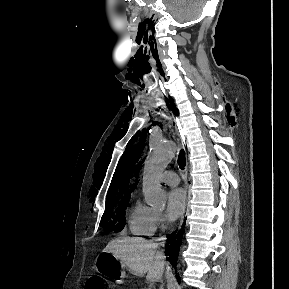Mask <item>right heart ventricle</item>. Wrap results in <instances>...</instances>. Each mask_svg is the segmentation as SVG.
Masks as SVG:
<instances>
[{
  "label": "right heart ventricle",
  "instance_id": "e07e8e85",
  "mask_svg": "<svg viewBox=\"0 0 289 289\" xmlns=\"http://www.w3.org/2000/svg\"><path fill=\"white\" fill-rule=\"evenodd\" d=\"M156 212L136 200L128 213V225L131 233L136 236H152L156 231Z\"/></svg>",
  "mask_w": 289,
  "mask_h": 289
}]
</instances>
